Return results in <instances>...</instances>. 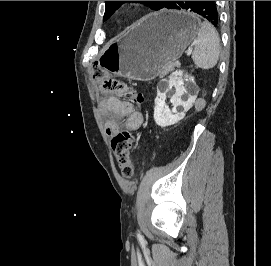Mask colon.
<instances>
[{
    "label": "colon",
    "mask_w": 271,
    "mask_h": 266,
    "mask_svg": "<svg viewBox=\"0 0 271 266\" xmlns=\"http://www.w3.org/2000/svg\"><path fill=\"white\" fill-rule=\"evenodd\" d=\"M93 78L99 88L105 92L114 94L123 99H129L136 104H142L143 95L129 86L124 80L112 76L100 66L93 69ZM135 138L128 130L117 132L111 140V147L123 175L130 177L133 174L131 151Z\"/></svg>",
    "instance_id": "1"
}]
</instances>
